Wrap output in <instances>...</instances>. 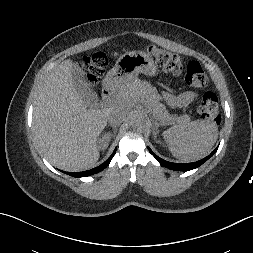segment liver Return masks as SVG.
<instances>
[{"instance_id": "liver-1", "label": "liver", "mask_w": 253, "mask_h": 253, "mask_svg": "<svg viewBox=\"0 0 253 253\" xmlns=\"http://www.w3.org/2000/svg\"><path fill=\"white\" fill-rule=\"evenodd\" d=\"M72 61L60 63L42 86L33 109V131L44 156L67 171L87 170L99 159V134L110 110L128 109L133 101H145L146 88L139 82L122 87L125 97L110 107L88 105L74 87Z\"/></svg>"}]
</instances>
